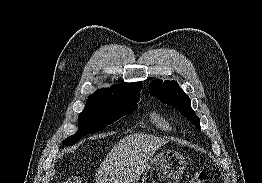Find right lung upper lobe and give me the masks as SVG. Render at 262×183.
<instances>
[{"label": "right lung upper lobe", "instance_id": "obj_1", "mask_svg": "<svg viewBox=\"0 0 262 183\" xmlns=\"http://www.w3.org/2000/svg\"><path fill=\"white\" fill-rule=\"evenodd\" d=\"M141 82L113 85L108 89H99L88 97V100L104 102H123L140 99Z\"/></svg>", "mask_w": 262, "mask_h": 183}]
</instances>
